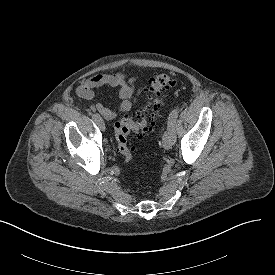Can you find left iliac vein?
<instances>
[{
	"label": "left iliac vein",
	"instance_id": "1",
	"mask_svg": "<svg viewBox=\"0 0 275 275\" xmlns=\"http://www.w3.org/2000/svg\"><path fill=\"white\" fill-rule=\"evenodd\" d=\"M174 143H175V128L168 125L162 139L163 147L165 149H170L174 145Z\"/></svg>",
	"mask_w": 275,
	"mask_h": 275
}]
</instances>
